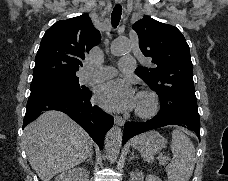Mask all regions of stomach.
<instances>
[{
	"mask_svg": "<svg viewBox=\"0 0 228 181\" xmlns=\"http://www.w3.org/2000/svg\"><path fill=\"white\" fill-rule=\"evenodd\" d=\"M167 141H165L162 135H159L157 131H150V133H144V135H140V137H136L134 141V145L136 149L139 147H144L147 149L148 153H159L161 149H164Z\"/></svg>",
	"mask_w": 228,
	"mask_h": 181,
	"instance_id": "stomach-1",
	"label": "stomach"
}]
</instances>
